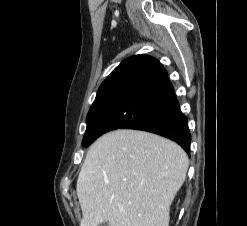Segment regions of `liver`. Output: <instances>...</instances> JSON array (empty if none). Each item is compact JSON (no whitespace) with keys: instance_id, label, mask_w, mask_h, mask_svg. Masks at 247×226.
<instances>
[{"instance_id":"6515ba94","label":"liver","mask_w":247,"mask_h":226,"mask_svg":"<svg viewBox=\"0 0 247 226\" xmlns=\"http://www.w3.org/2000/svg\"><path fill=\"white\" fill-rule=\"evenodd\" d=\"M188 166L185 151L158 135L136 130L103 135L88 150L77 180L80 226H168Z\"/></svg>"}]
</instances>
